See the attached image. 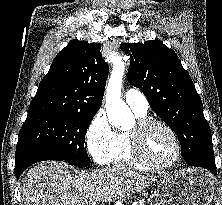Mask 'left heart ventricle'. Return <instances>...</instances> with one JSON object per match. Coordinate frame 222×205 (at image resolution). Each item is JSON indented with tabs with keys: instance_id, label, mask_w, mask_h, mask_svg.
<instances>
[{
	"instance_id": "left-heart-ventricle-1",
	"label": "left heart ventricle",
	"mask_w": 222,
	"mask_h": 205,
	"mask_svg": "<svg viewBox=\"0 0 222 205\" xmlns=\"http://www.w3.org/2000/svg\"><path fill=\"white\" fill-rule=\"evenodd\" d=\"M144 149L156 163H169L175 155V144L169 133L160 126L149 128L144 135Z\"/></svg>"
}]
</instances>
